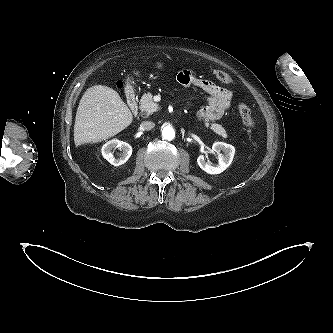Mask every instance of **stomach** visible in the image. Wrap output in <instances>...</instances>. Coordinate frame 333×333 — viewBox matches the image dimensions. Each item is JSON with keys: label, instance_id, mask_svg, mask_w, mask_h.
I'll return each instance as SVG.
<instances>
[{"label": "stomach", "instance_id": "0dacf381", "mask_svg": "<svg viewBox=\"0 0 333 333\" xmlns=\"http://www.w3.org/2000/svg\"><path fill=\"white\" fill-rule=\"evenodd\" d=\"M155 68L157 70H163L164 69V64L162 62L158 61V62L155 63ZM134 74L135 75H140V71H135Z\"/></svg>", "mask_w": 333, "mask_h": 333}]
</instances>
